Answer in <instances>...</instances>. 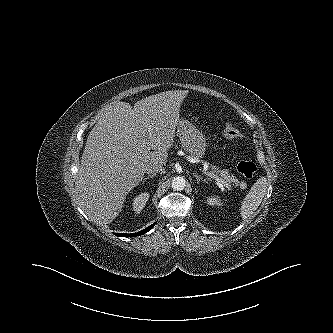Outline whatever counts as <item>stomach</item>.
Masks as SVG:
<instances>
[{
  "label": "stomach",
  "instance_id": "1",
  "mask_svg": "<svg viewBox=\"0 0 333 333\" xmlns=\"http://www.w3.org/2000/svg\"><path fill=\"white\" fill-rule=\"evenodd\" d=\"M177 135L186 152L202 158L206 150L203 134L189 121L181 118L177 124Z\"/></svg>",
  "mask_w": 333,
  "mask_h": 333
}]
</instances>
